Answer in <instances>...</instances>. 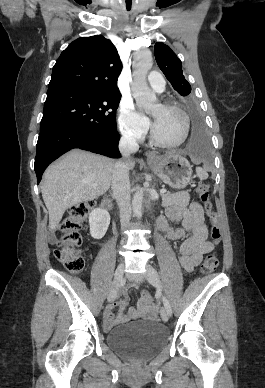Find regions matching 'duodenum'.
Masks as SVG:
<instances>
[{
    "instance_id": "1",
    "label": "duodenum",
    "mask_w": 265,
    "mask_h": 388,
    "mask_svg": "<svg viewBox=\"0 0 265 388\" xmlns=\"http://www.w3.org/2000/svg\"><path fill=\"white\" fill-rule=\"evenodd\" d=\"M103 208L107 211H110L112 208V203L109 199H106L103 203Z\"/></svg>"
}]
</instances>
